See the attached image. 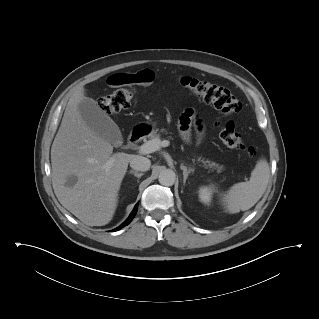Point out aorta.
Returning <instances> with one entry per match:
<instances>
[{
  "mask_svg": "<svg viewBox=\"0 0 319 319\" xmlns=\"http://www.w3.org/2000/svg\"><path fill=\"white\" fill-rule=\"evenodd\" d=\"M176 175L173 170L165 169L159 174V183L164 186H172L175 182Z\"/></svg>",
  "mask_w": 319,
  "mask_h": 319,
  "instance_id": "762f6f07",
  "label": "aorta"
}]
</instances>
